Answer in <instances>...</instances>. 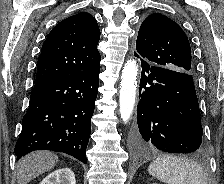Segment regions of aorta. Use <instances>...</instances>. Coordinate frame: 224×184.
Segmentation results:
<instances>
[{"label": "aorta", "mask_w": 224, "mask_h": 184, "mask_svg": "<svg viewBox=\"0 0 224 184\" xmlns=\"http://www.w3.org/2000/svg\"><path fill=\"white\" fill-rule=\"evenodd\" d=\"M138 64L135 60H128L122 70L120 84V116L127 122L134 110L137 88Z\"/></svg>", "instance_id": "obj_1"}]
</instances>
